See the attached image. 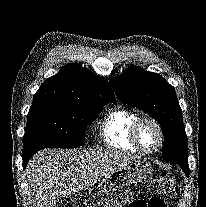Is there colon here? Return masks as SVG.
<instances>
[{
    "label": "colon",
    "instance_id": "obj_1",
    "mask_svg": "<svg viewBox=\"0 0 206 207\" xmlns=\"http://www.w3.org/2000/svg\"><path fill=\"white\" fill-rule=\"evenodd\" d=\"M156 195L148 200L137 199L130 201L128 196L119 195L101 201L93 207H167L166 198L172 197L177 192L174 175L170 172L159 174L156 184Z\"/></svg>",
    "mask_w": 206,
    "mask_h": 207
}]
</instances>
